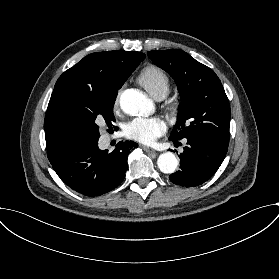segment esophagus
<instances>
[{
	"mask_svg": "<svg viewBox=\"0 0 279 279\" xmlns=\"http://www.w3.org/2000/svg\"><path fill=\"white\" fill-rule=\"evenodd\" d=\"M141 148L148 153L149 155H151L153 158L156 157V152L153 148L149 147V146H145V145H141Z\"/></svg>",
	"mask_w": 279,
	"mask_h": 279,
	"instance_id": "1",
	"label": "esophagus"
}]
</instances>
